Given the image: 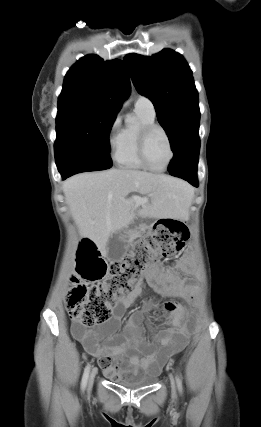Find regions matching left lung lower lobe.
Instances as JSON below:
<instances>
[{
	"instance_id": "obj_1",
	"label": "left lung lower lobe",
	"mask_w": 261,
	"mask_h": 427,
	"mask_svg": "<svg viewBox=\"0 0 261 427\" xmlns=\"http://www.w3.org/2000/svg\"><path fill=\"white\" fill-rule=\"evenodd\" d=\"M200 149L199 129L186 133L174 152V157L169 165V173L172 176L187 180L197 187V166Z\"/></svg>"
}]
</instances>
